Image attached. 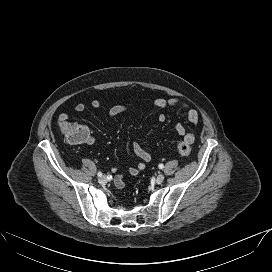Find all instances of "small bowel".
<instances>
[{"mask_svg": "<svg viewBox=\"0 0 272 272\" xmlns=\"http://www.w3.org/2000/svg\"><path fill=\"white\" fill-rule=\"evenodd\" d=\"M153 104L155 107H157L159 109L175 108V109L186 110L188 122L194 126H196L199 123L198 111L194 108L189 107L188 104L181 101L180 99H177V98H172V99L157 98L154 100ZM102 105H103V102L100 100H93L91 103V106L95 109L102 107ZM85 109H86V105L81 102L77 103L74 106V110L78 113L83 112ZM134 111H136V108L133 105L117 104V105H113L109 109L108 114H109V117L113 118V117H116L122 113L134 112ZM68 117H69V115L67 113H62V114H60L59 119L60 120H67ZM158 119L160 122H164L165 115L160 114ZM176 131L183 138L190 136L191 143L194 142V140H195L194 134L191 131H187V129L181 123H178L176 125ZM88 143L89 144L93 143L92 137H90ZM132 150H133L134 154L140 159V162H138L136 166L128 167L126 171L129 175L136 176L141 171H143L145 169V164L151 160V155L138 142L132 143ZM111 171L113 173H116L118 171V167L113 166L111 168ZM114 181H115V185L118 188H124L126 185L123 174H117L115 176Z\"/></svg>", "mask_w": 272, "mask_h": 272, "instance_id": "c3829d8e", "label": "small bowel"}]
</instances>
